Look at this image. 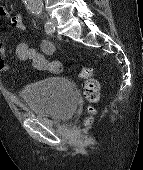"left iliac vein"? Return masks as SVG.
<instances>
[{
	"label": "left iliac vein",
	"instance_id": "obj_1",
	"mask_svg": "<svg viewBox=\"0 0 143 170\" xmlns=\"http://www.w3.org/2000/svg\"><path fill=\"white\" fill-rule=\"evenodd\" d=\"M48 23H49V28L52 29L53 27H55L57 21L55 19L51 18L48 20Z\"/></svg>",
	"mask_w": 143,
	"mask_h": 170
}]
</instances>
